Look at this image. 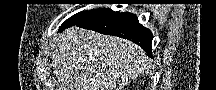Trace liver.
<instances>
[{
	"instance_id": "liver-1",
	"label": "liver",
	"mask_w": 216,
	"mask_h": 90,
	"mask_svg": "<svg viewBox=\"0 0 216 90\" xmlns=\"http://www.w3.org/2000/svg\"><path fill=\"white\" fill-rule=\"evenodd\" d=\"M58 56L53 66L63 90H123L147 60L128 40L77 26L59 34Z\"/></svg>"
}]
</instances>
